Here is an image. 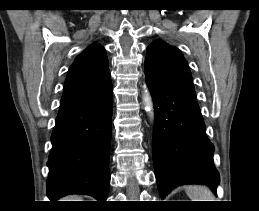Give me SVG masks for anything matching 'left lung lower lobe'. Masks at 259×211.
<instances>
[{"mask_svg": "<svg viewBox=\"0 0 259 211\" xmlns=\"http://www.w3.org/2000/svg\"><path fill=\"white\" fill-rule=\"evenodd\" d=\"M146 81L155 105L153 160L161 197L184 184H204L215 192L219 174L214 146L206 136L195 92Z\"/></svg>", "mask_w": 259, "mask_h": 211, "instance_id": "1", "label": "left lung lower lobe"}]
</instances>
